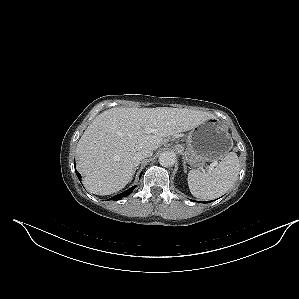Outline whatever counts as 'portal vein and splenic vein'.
<instances>
[{"mask_svg":"<svg viewBox=\"0 0 299 299\" xmlns=\"http://www.w3.org/2000/svg\"><path fill=\"white\" fill-rule=\"evenodd\" d=\"M147 132H148V133H151V132H153V130L150 129V128H148V129H147Z\"/></svg>","mask_w":299,"mask_h":299,"instance_id":"1","label":"portal vein and splenic vein"}]
</instances>
